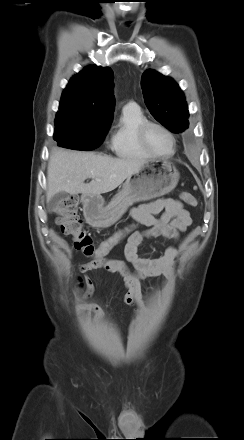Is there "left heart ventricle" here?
Returning a JSON list of instances; mask_svg holds the SVG:
<instances>
[{"label":"left heart ventricle","mask_w":244,"mask_h":440,"mask_svg":"<svg viewBox=\"0 0 244 440\" xmlns=\"http://www.w3.org/2000/svg\"><path fill=\"white\" fill-rule=\"evenodd\" d=\"M146 141L149 148L156 154H170L173 150L170 137L157 127L149 128L146 134Z\"/></svg>","instance_id":"obj_1"}]
</instances>
